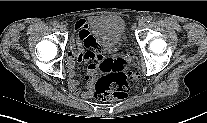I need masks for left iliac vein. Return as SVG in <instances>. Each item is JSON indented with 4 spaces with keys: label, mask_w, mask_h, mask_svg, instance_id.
<instances>
[{
    "label": "left iliac vein",
    "mask_w": 207,
    "mask_h": 123,
    "mask_svg": "<svg viewBox=\"0 0 207 123\" xmlns=\"http://www.w3.org/2000/svg\"><path fill=\"white\" fill-rule=\"evenodd\" d=\"M145 24H146V21H145L144 19H141V20L139 21V23H138V26H139L140 28H142V27L145 26Z\"/></svg>",
    "instance_id": "1"
}]
</instances>
